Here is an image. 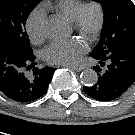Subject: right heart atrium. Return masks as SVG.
Masks as SVG:
<instances>
[{"label": "right heart atrium", "instance_id": "obj_1", "mask_svg": "<svg viewBox=\"0 0 135 135\" xmlns=\"http://www.w3.org/2000/svg\"><path fill=\"white\" fill-rule=\"evenodd\" d=\"M45 13L41 9L33 10L27 18L26 30L29 38L34 43H40L44 39Z\"/></svg>", "mask_w": 135, "mask_h": 135}]
</instances>
